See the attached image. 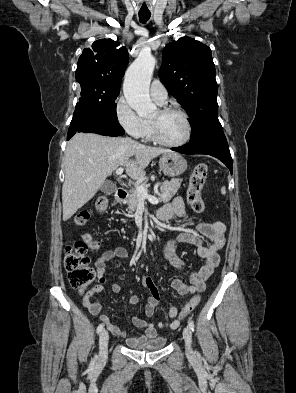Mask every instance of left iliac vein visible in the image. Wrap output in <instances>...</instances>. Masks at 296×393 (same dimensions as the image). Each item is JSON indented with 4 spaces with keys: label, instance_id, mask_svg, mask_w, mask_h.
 Here are the masks:
<instances>
[{
    "label": "left iliac vein",
    "instance_id": "4c4485c4",
    "mask_svg": "<svg viewBox=\"0 0 296 393\" xmlns=\"http://www.w3.org/2000/svg\"><path fill=\"white\" fill-rule=\"evenodd\" d=\"M183 338L185 340L186 344V351L188 354H192V347H191V341H192V333L190 327H185L183 330Z\"/></svg>",
    "mask_w": 296,
    "mask_h": 393
}]
</instances>
